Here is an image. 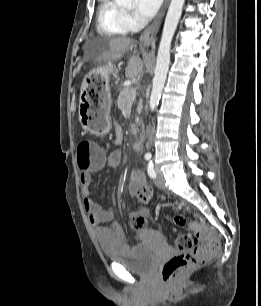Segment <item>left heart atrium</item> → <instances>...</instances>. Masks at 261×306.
I'll return each instance as SVG.
<instances>
[{
  "label": "left heart atrium",
  "instance_id": "1",
  "mask_svg": "<svg viewBox=\"0 0 261 306\" xmlns=\"http://www.w3.org/2000/svg\"><path fill=\"white\" fill-rule=\"evenodd\" d=\"M162 0H135L134 14L139 20L151 19L159 9Z\"/></svg>",
  "mask_w": 261,
  "mask_h": 306
}]
</instances>
